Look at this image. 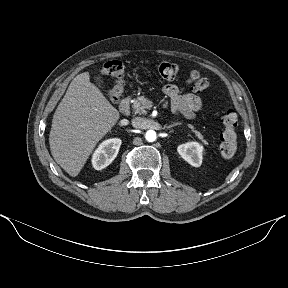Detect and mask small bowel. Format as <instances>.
Returning <instances> with one entry per match:
<instances>
[{"instance_id": "obj_1", "label": "small bowel", "mask_w": 288, "mask_h": 288, "mask_svg": "<svg viewBox=\"0 0 288 288\" xmlns=\"http://www.w3.org/2000/svg\"><path fill=\"white\" fill-rule=\"evenodd\" d=\"M163 92L171 99L173 110L188 118L194 117L202 108V100L196 93L182 94L174 84L165 85Z\"/></svg>"}]
</instances>
